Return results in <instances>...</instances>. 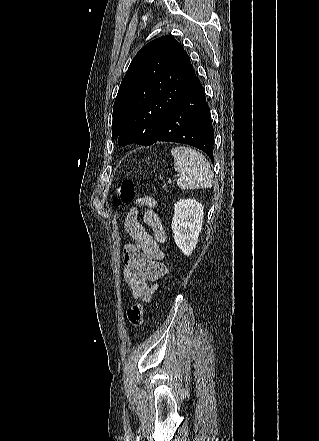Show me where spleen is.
Returning <instances> with one entry per match:
<instances>
[{"mask_svg":"<svg viewBox=\"0 0 319 441\" xmlns=\"http://www.w3.org/2000/svg\"><path fill=\"white\" fill-rule=\"evenodd\" d=\"M174 169L180 173L177 185L181 189H208L213 186V173L206 158L186 146L172 148Z\"/></svg>","mask_w":319,"mask_h":441,"instance_id":"obj_1","label":"spleen"}]
</instances>
